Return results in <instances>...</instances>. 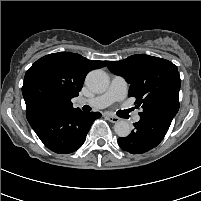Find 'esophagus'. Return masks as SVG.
<instances>
[{
    "label": "esophagus",
    "mask_w": 201,
    "mask_h": 201,
    "mask_svg": "<svg viewBox=\"0 0 201 201\" xmlns=\"http://www.w3.org/2000/svg\"><path fill=\"white\" fill-rule=\"evenodd\" d=\"M107 120H109L112 123H117L120 121V118L111 114L106 115Z\"/></svg>",
    "instance_id": "obj_1"
}]
</instances>
